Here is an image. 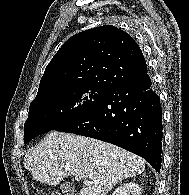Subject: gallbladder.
Instances as JSON below:
<instances>
[{
  "label": "gallbladder",
  "instance_id": "1",
  "mask_svg": "<svg viewBox=\"0 0 189 195\" xmlns=\"http://www.w3.org/2000/svg\"><path fill=\"white\" fill-rule=\"evenodd\" d=\"M60 190L64 195H74V189L72 188L71 184L65 182L60 185Z\"/></svg>",
  "mask_w": 189,
  "mask_h": 195
}]
</instances>
